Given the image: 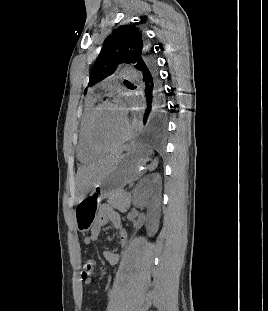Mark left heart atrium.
Instances as JSON below:
<instances>
[{"instance_id":"left-heart-atrium-1","label":"left heart atrium","mask_w":268,"mask_h":311,"mask_svg":"<svg viewBox=\"0 0 268 311\" xmlns=\"http://www.w3.org/2000/svg\"><path fill=\"white\" fill-rule=\"evenodd\" d=\"M113 106L125 117L126 108L124 106V103L121 101V99H117Z\"/></svg>"}]
</instances>
